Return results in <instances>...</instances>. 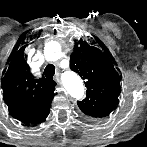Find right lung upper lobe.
<instances>
[{"mask_svg": "<svg viewBox=\"0 0 147 147\" xmlns=\"http://www.w3.org/2000/svg\"><path fill=\"white\" fill-rule=\"evenodd\" d=\"M25 46L13 57L3 81L4 97L11 113L25 124H37L49 114L56 83L34 79L24 58Z\"/></svg>", "mask_w": 147, "mask_h": 147, "instance_id": "obj_1", "label": "right lung upper lobe"}]
</instances>
